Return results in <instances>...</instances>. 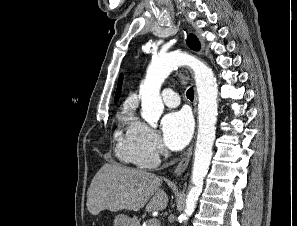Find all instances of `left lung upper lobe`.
<instances>
[{
	"label": "left lung upper lobe",
	"mask_w": 297,
	"mask_h": 226,
	"mask_svg": "<svg viewBox=\"0 0 297 226\" xmlns=\"http://www.w3.org/2000/svg\"><path fill=\"white\" fill-rule=\"evenodd\" d=\"M187 44L193 50H199V48H200L199 41L197 40V38L194 35H190L188 37Z\"/></svg>",
	"instance_id": "1"
}]
</instances>
